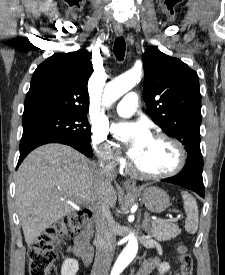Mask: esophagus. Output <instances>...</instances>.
Here are the masks:
<instances>
[{
  "label": "esophagus",
  "mask_w": 225,
  "mask_h": 275,
  "mask_svg": "<svg viewBox=\"0 0 225 275\" xmlns=\"http://www.w3.org/2000/svg\"><path fill=\"white\" fill-rule=\"evenodd\" d=\"M115 34L117 36L123 35V28L122 26H115L114 28ZM124 186L126 189H135L136 188V182L132 179H128L125 181Z\"/></svg>",
  "instance_id": "1"
}]
</instances>
